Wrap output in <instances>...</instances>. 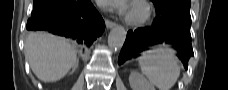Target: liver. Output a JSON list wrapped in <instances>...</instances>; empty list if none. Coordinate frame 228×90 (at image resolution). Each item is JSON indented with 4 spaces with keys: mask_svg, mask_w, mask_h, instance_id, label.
I'll list each match as a JSON object with an SVG mask.
<instances>
[{
    "mask_svg": "<svg viewBox=\"0 0 228 90\" xmlns=\"http://www.w3.org/2000/svg\"><path fill=\"white\" fill-rule=\"evenodd\" d=\"M25 54L33 73L43 82L60 80L78 61L75 50L66 39L42 32L28 35Z\"/></svg>",
    "mask_w": 228,
    "mask_h": 90,
    "instance_id": "liver-1",
    "label": "liver"
}]
</instances>
